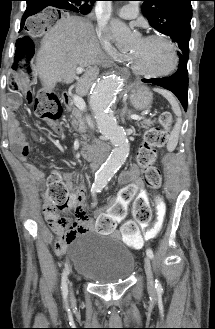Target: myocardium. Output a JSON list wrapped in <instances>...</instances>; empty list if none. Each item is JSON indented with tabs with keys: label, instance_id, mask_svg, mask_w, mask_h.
Segmentation results:
<instances>
[{
	"label": "myocardium",
	"instance_id": "1",
	"mask_svg": "<svg viewBox=\"0 0 215 329\" xmlns=\"http://www.w3.org/2000/svg\"><path fill=\"white\" fill-rule=\"evenodd\" d=\"M143 39L145 40H164L165 42H167L169 44V46L171 47L172 49V52H173V64H172V67L166 71H163V72H158V73H151V72H147L145 70H143L136 58L132 55L129 56V63L132 67V69L139 75H142V76H145V77H148V78H163V77H167L171 74H173L177 67H178V64H179V53H178V48L175 44V42L168 36L166 35H163V34H150V35H147L145 36Z\"/></svg>",
	"mask_w": 215,
	"mask_h": 329
}]
</instances>
